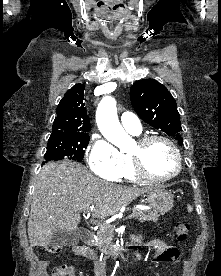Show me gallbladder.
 I'll return each instance as SVG.
<instances>
[{"instance_id":"gallbladder-1","label":"gallbladder","mask_w":221,"mask_h":276,"mask_svg":"<svg viewBox=\"0 0 221 276\" xmlns=\"http://www.w3.org/2000/svg\"><path fill=\"white\" fill-rule=\"evenodd\" d=\"M78 242V236L74 232H67L62 229H57L53 234L52 240L50 241L51 247H63L72 246Z\"/></svg>"}]
</instances>
